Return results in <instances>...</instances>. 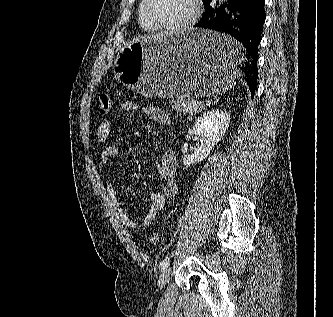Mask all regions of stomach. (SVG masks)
Listing matches in <instances>:
<instances>
[{"label":"stomach","mask_w":333,"mask_h":317,"mask_svg":"<svg viewBox=\"0 0 333 317\" xmlns=\"http://www.w3.org/2000/svg\"><path fill=\"white\" fill-rule=\"evenodd\" d=\"M243 45L220 29L153 35L129 42L115 61L119 80L146 98L218 96L241 81Z\"/></svg>","instance_id":"stomach-1"}]
</instances>
